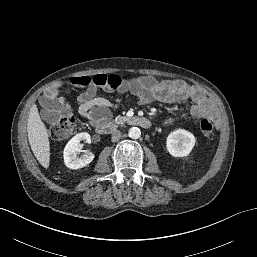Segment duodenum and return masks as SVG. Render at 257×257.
Segmentation results:
<instances>
[{
	"mask_svg": "<svg viewBox=\"0 0 257 257\" xmlns=\"http://www.w3.org/2000/svg\"><path fill=\"white\" fill-rule=\"evenodd\" d=\"M128 124L136 125L142 128H150L151 121L145 117H131L126 120ZM118 124L116 122L105 121L96 126V130L99 134L107 135L116 130Z\"/></svg>",
	"mask_w": 257,
	"mask_h": 257,
	"instance_id": "410a0bca",
	"label": "duodenum"
}]
</instances>
